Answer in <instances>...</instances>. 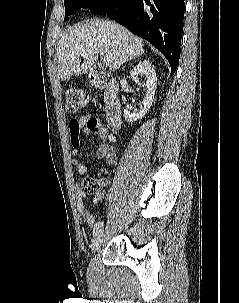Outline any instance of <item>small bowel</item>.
<instances>
[{
	"instance_id": "1",
	"label": "small bowel",
	"mask_w": 239,
	"mask_h": 303,
	"mask_svg": "<svg viewBox=\"0 0 239 303\" xmlns=\"http://www.w3.org/2000/svg\"><path fill=\"white\" fill-rule=\"evenodd\" d=\"M68 129L70 134V143L74 148L73 152V164L79 175H84L87 168L79 158L78 149L81 146L80 135L84 132L87 135L96 134L104 142L99 146L97 151V158L103 159L106 166H111L116 162L117 150L113 145L106 143V140L115 142L116 138L112 135L108 129L101 123V121L93 117L90 114H84L77 119H72L68 123ZM107 182L102 181V185L105 186ZM86 195L82 185L78 184L75 188L76 207L78 211V217L80 221L85 222L88 226H93L95 218L90 211L85 207L83 199Z\"/></svg>"
}]
</instances>
